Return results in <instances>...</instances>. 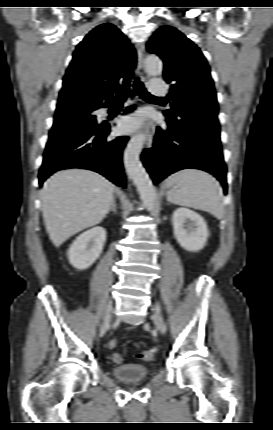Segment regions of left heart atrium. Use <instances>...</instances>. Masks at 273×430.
<instances>
[{
  "label": "left heart atrium",
  "mask_w": 273,
  "mask_h": 430,
  "mask_svg": "<svg viewBox=\"0 0 273 430\" xmlns=\"http://www.w3.org/2000/svg\"><path fill=\"white\" fill-rule=\"evenodd\" d=\"M143 115L136 114L132 117H128L121 122V129L125 132H131L138 128L143 122Z\"/></svg>",
  "instance_id": "39dd6f15"
}]
</instances>
